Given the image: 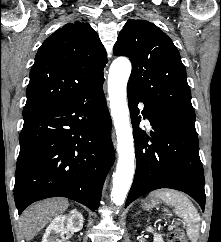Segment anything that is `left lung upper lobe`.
<instances>
[{
  "label": "left lung upper lobe",
  "instance_id": "obj_1",
  "mask_svg": "<svg viewBox=\"0 0 221 242\" xmlns=\"http://www.w3.org/2000/svg\"><path fill=\"white\" fill-rule=\"evenodd\" d=\"M114 55L127 56L132 63L127 89L157 110L195 121L180 54L156 25L128 20L114 45Z\"/></svg>",
  "mask_w": 221,
  "mask_h": 242
}]
</instances>
